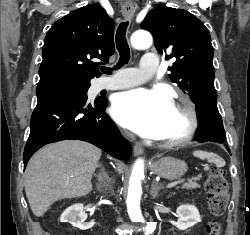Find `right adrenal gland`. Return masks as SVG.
Masks as SVG:
<instances>
[{"instance_id": "2a0ac1e0", "label": "right adrenal gland", "mask_w": 250, "mask_h": 235, "mask_svg": "<svg viewBox=\"0 0 250 235\" xmlns=\"http://www.w3.org/2000/svg\"><path fill=\"white\" fill-rule=\"evenodd\" d=\"M98 167L100 168L99 175H102V176L107 177V174H106V172H105L104 167L101 166V165H99ZM96 190L99 191V192H101L102 189H101V186H100L99 184H96Z\"/></svg>"}]
</instances>
